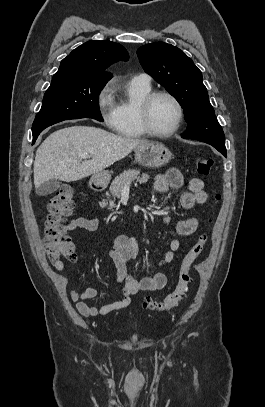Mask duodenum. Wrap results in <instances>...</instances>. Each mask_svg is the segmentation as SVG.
I'll use <instances>...</instances> for the list:
<instances>
[{
  "label": "duodenum",
  "mask_w": 265,
  "mask_h": 407,
  "mask_svg": "<svg viewBox=\"0 0 265 407\" xmlns=\"http://www.w3.org/2000/svg\"><path fill=\"white\" fill-rule=\"evenodd\" d=\"M93 187H94V189H97V190H100L102 188V186L96 181L93 182Z\"/></svg>",
  "instance_id": "duodenum-1"
}]
</instances>
